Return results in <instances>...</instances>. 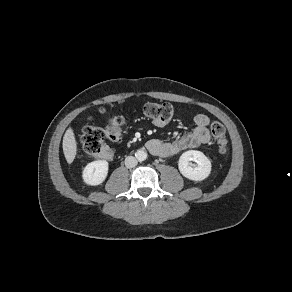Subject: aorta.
Returning a JSON list of instances; mask_svg holds the SVG:
<instances>
[{
	"label": "aorta",
	"mask_w": 292,
	"mask_h": 292,
	"mask_svg": "<svg viewBox=\"0 0 292 292\" xmlns=\"http://www.w3.org/2000/svg\"><path fill=\"white\" fill-rule=\"evenodd\" d=\"M138 161L142 162L147 159V152L144 149H139L135 153Z\"/></svg>",
	"instance_id": "1"
}]
</instances>
